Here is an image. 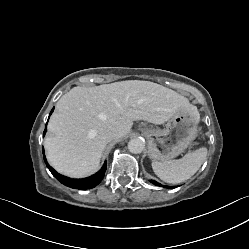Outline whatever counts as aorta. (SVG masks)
Here are the masks:
<instances>
[{"label": "aorta", "instance_id": "762f6f07", "mask_svg": "<svg viewBox=\"0 0 249 249\" xmlns=\"http://www.w3.org/2000/svg\"><path fill=\"white\" fill-rule=\"evenodd\" d=\"M145 142L141 138L132 139L128 142V150L133 154H139L144 150Z\"/></svg>", "mask_w": 249, "mask_h": 249}]
</instances>
